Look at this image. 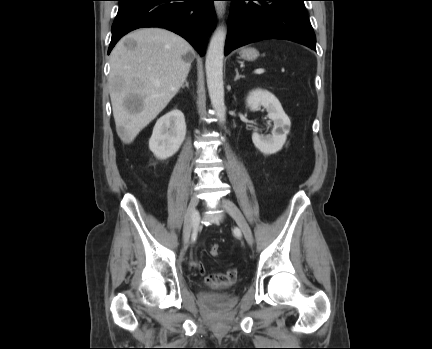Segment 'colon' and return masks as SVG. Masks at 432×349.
Segmentation results:
<instances>
[{
    "label": "colon",
    "mask_w": 432,
    "mask_h": 349,
    "mask_svg": "<svg viewBox=\"0 0 432 349\" xmlns=\"http://www.w3.org/2000/svg\"><path fill=\"white\" fill-rule=\"evenodd\" d=\"M219 253H220V247H219V245L218 244H213L210 247V255L213 256V257H216V256L219 255Z\"/></svg>",
    "instance_id": "1"
}]
</instances>
